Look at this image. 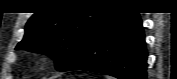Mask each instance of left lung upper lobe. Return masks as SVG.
<instances>
[{"label":"left lung upper lobe","instance_id":"left-lung-upper-lobe-1","mask_svg":"<svg viewBox=\"0 0 177 79\" xmlns=\"http://www.w3.org/2000/svg\"><path fill=\"white\" fill-rule=\"evenodd\" d=\"M106 13L102 10L34 13L27 22L25 36L16 49H27L51 56L60 71Z\"/></svg>","mask_w":177,"mask_h":79}]
</instances>
